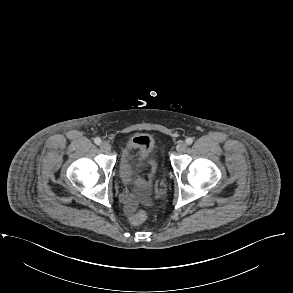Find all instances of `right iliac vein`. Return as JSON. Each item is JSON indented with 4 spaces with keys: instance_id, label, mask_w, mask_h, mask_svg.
I'll return each mask as SVG.
<instances>
[{
    "instance_id": "1",
    "label": "right iliac vein",
    "mask_w": 293,
    "mask_h": 293,
    "mask_svg": "<svg viewBox=\"0 0 293 293\" xmlns=\"http://www.w3.org/2000/svg\"><path fill=\"white\" fill-rule=\"evenodd\" d=\"M100 148L102 151L104 152H109L111 150V145L107 142V141H103L101 144H100Z\"/></svg>"
}]
</instances>
